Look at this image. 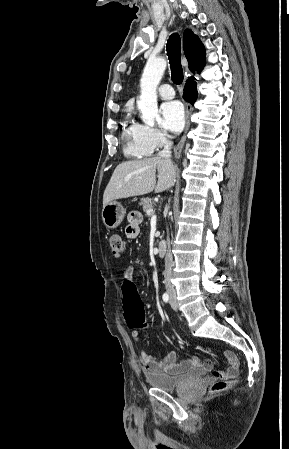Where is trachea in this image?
Returning a JSON list of instances; mask_svg holds the SVG:
<instances>
[{
  "instance_id": "3493384b",
  "label": "trachea",
  "mask_w": 289,
  "mask_h": 449,
  "mask_svg": "<svg viewBox=\"0 0 289 449\" xmlns=\"http://www.w3.org/2000/svg\"><path fill=\"white\" fill-rule=\"evenodd\" d=\"M167 55L171 69V79L174 84L183 82V69L181 65V38L178 33L170 35L167 41Z\"/></svg>"
}]
</instances>
